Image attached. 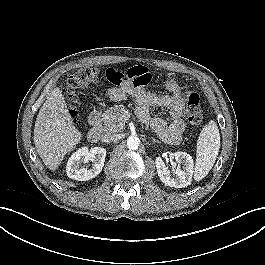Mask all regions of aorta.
Returning a JSON list of instances; mask_svg holds the SVG:
<instances>
[{
  "mask_svg": "<svg viewBox=\"0 0 265 265\" xmlns=\"http://www.w3.org/2000/svg\"><path fill=\"white\" fill-rule=\"evenodd\" d=\"M140 146V139L137 136H130L127 139V147L130 150H137Z\"/></svg>",
  "mask_w": 265,
  "mask_h": 265,
  "instance_id": "762f6f07",
  "label": "aorta"
}]
</instances>
